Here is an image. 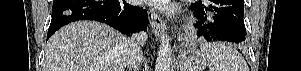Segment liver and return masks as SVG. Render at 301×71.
<instances>
[{
	"label": "liver",
	"instance_id": "liver-1",
	"mask_svg": "<svg viewBox=\"0 0 301 71\" xmlns=\"http://www.w3.org/2000/svg\"><path fill=\"white\" fill-rule=\"evenodd\" d=\"M131 51L130 39L117 30L94 21L73 22L48 40L43 69L124 71Z\"/></svg>",
	"mask_w": 301,
	"mask_h": 71
}]
</instances>
